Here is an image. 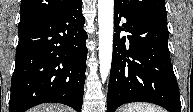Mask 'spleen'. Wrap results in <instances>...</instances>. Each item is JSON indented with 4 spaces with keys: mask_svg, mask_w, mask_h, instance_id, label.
Here are the masks:
<instances>
[{
    "mask_svg": "<svg viewBox=\"0 0 193 112\" xmlns=\"http://www.w3.org/2000/svg\"><path fill=\"white\" fill-rule=\"evenodd\" d=\"M123 112H164V110L151 104L133 103L129 104L128 108L124 109Z\"/></svg>",
    "mask_w": 193,
    "mask_h": 112,
    "instance_id": "1",
    "label": "spleen"
}]
</instances>
